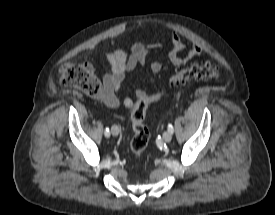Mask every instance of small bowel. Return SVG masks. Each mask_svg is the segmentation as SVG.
<instances>
[{
    "instance_id": "c3829d8e",
    "label": "small bowel",
    "mask_w": 275,
    "mask_h": 215,
    "mask_svg": "<svg viewBox=\"0 0 275 215\" xmlns=\"http://www.w3.org/2000/svg\"><path fill=\"white\" fill-rule=\"evenodd\" d=\"M172 49L168 54L169 60L175 66L185 64L189 59L201 55L202 49L197 44H192L185 51V44L180 36L175 32H171ZM159 46L155 43L144 44L141 42L133 43L130 47V54L121 49H113L106 55L107 73L103 77V101L110 108H117L120 100L117 93L122 88L126 75L134 71L138 66H144L151 52L157 51ZM162 64L154 60L150 63V70L153 74L161 71ZM147 94L143 90L136 91L138 100L146 97ZM127 108H133L134 101L131 97H125L123 100Z\"/></svg>"
}]
</instances>
